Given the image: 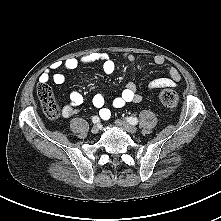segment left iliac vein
<instances>
[{"label": "left iliac vein", "instance_id": "left-iliac-vein-1", "mask_svg": "<svg viewBox=\"0 0 221 221\" xmlns=\"http://www.w3.org/2000/svg\"><path fill=\"white\" fill-rule=\"evenodd\" d=\"M116 124H117L119 127H121V128H123V129H125L126 131H128L129 133L134 134V133L137 132V128H136L135 126H132V125H130V124L124 122V121L117 120V121H116Z\"/></svg>", "mask_w": 221, "mask_h": 221}]
</instances>
